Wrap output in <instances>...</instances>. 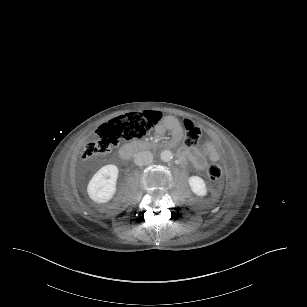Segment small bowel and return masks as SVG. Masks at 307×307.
<instances>
[{
  "mask_svg": "<svg viewBox=\"0 0 307 307\" xmlns=\"http://www.w3.org/2000/svg\"><path fill=\"white\" fill-rule=\"evenodd\" d=\"M166 128L171 132V146H177L183 138V129L176 120H169ZM178 156L181 160H189L197 169L203 170L207 166V162H215L219 160V153L211 141H206L201 149L192 147H182L179 149Z\"/></svg>",
  "mask_w": 307,
  "mask_h": 307,
  "instance_id": "small-bowel-1",
  "label": "small bowel"
}]
</instances>
